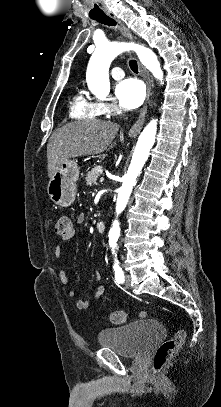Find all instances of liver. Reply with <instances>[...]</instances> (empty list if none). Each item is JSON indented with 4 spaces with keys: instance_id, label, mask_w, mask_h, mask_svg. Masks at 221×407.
Returning <instances> with one entry per match:
<instances>
[{
    "instance_id": "6515ba94",
    "label": "liver",
    "mask_w": 221,
    "mask_h": 407,
    "mask_svg": "<svg viewBox=\"0 0 221 407\" xmlns=\"http://www.w3.org/2000/svg\"><path fill=\"white\" fill-rule=\"evenodd\" d=\"M118 131L117 124L100 120L75 121L56 129L47 145L49 178L70 158L100 154L112 148Z\"/></svg>"
}]
</instances>
